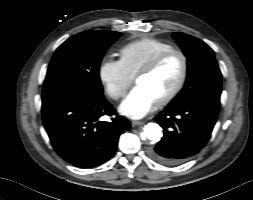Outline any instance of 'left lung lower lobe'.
Listing matches in <instances>:
<instances>
[{"instance_id": "0a47b994", "label": "left lung lower lobe", "mask_w": 253, "mask_h": 200, "mask_svg": "<svg viewBox=\"0 0 253 200\" xmlns=\"http://www.w3.org/2000/svg\"><path fill=\"white\" fill-rule=\"evenodd\" d=\"M220 108V99L203 97L185 105H168L154 119L164 131L150 150L155 161L177 165L197 154L208 142Z\"/></svg>"}]
</instances>
